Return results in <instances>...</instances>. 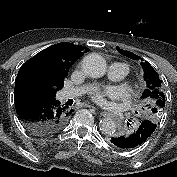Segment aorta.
I'll return each instance as SVG.
<instances>
[{"instance_id":"1","label":"aorta","mask_w":177,"mask_h":177,"mask_svg":"<svg viewBox=\"0 0 177 177\" xmlns=\"http://www.w3.org/2000/svg\"><path fill=\"white\" fill-rule=\"evenodd\" d=\"M81 66L83 72L92 78L102 77L106 72V61L97 53L85 56ZM100 129L104 134L112 135L116 131V123L111 118H105L102 121Z\"/></svg>"}]
</instances>
